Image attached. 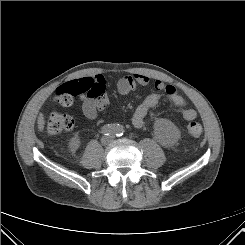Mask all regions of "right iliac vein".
I'll list each match as a JSON object with an SVG mask.
<instances>
[{
    "instance_id": "right-iliac-vein-1",
    "label": "right iliac vein",
    "mask_w": 245,
    "mask_h": 245,
    "mask_svg": "<svg viewBox=\"0 0 245 245\" xmlns=\"http://www.w3.org/2000/svg\"><path fill=\"white\" fill-rule=\"evenodd\" d=\"M108 140L107 139H104V142H107Z\"/></svg>"
}]
</instances>
